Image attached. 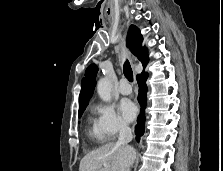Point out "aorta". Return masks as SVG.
Instances as JSON below:
<instances>
[{"label": "aorta", "mask_w": 223, "mask_h": 171, "mask_svg": "<svg viewBox=\"0 0 223 171\" xmlns=\"http://www.w3.org/2000/svg\"><path fill=\"white\" fill-rule=\"evenodd\" d=\"M97 92L103 101L111 100V84L108 79L101 78L97 83Z\"/></svg>", "instance_id": "aorta-1"}]
</instances>
